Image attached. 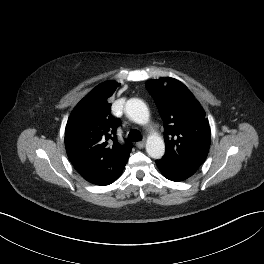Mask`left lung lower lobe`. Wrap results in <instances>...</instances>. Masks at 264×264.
<instances>
[{"label": "left lung lower lobe", "mask_w": 264, "mask_h": 264, "mask_svg": "<svg viewBox=\"0 0 264 264\" xmlns=\"http://www.w3.org/2000/svg\"><path fill=\"white\" fill-rule=\"evenodd\" d=\"M162 175L171 181H183L192 176L197 169L171 164L165 160H156Z\"/></svg>", "instance_id": "obj_1"}]
</instances>
